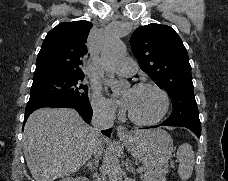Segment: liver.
Masks as SVG:
<instances>
[{"label": "liver", "instance_id": "1", "mask_svg": "<svg viewBox=\"0 0 228 181\" xmlns=\"http://www.w3.org/2000/svg\"><path fill=\"white\" fill-rule=\"evenodd\" d=\"M108 139L93 133L74 109H38L25 123L23 153L35 181H55L77 173L96 145Z\"/></svg>", "mask_w": 228, "mask_h": 181}]
</instances>
